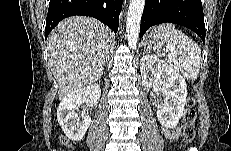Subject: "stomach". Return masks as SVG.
Instances as JSON below:
<instances>
[{
    "label": "stomach",
    "mask_w": 231,
    "mask_h": 151,
    "mask_svg": "<svg viewBox=\"0 0 231 151\" xmlns=\"http://www.w3.org/2000/svg\"><path fill=\"white\" fill-rule=\"evenodd\" d=\"M165 44L163 35L157 28L149 30L144 37L143 45L147 50H161Z\"/></svg>",
    "instance_id": "obj_1"
}]
</instances>
